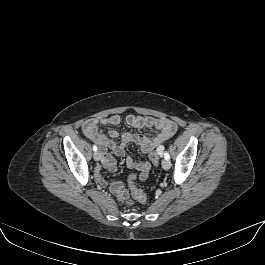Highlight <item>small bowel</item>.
<instances>
[{"label": "small bowel", "mask_w": 265, "mask_h": 265, "mask_svg": "<svg viewBox=\"0 0 265 265\" xmlns=\"http://www.w3.org/2000/svg\"><path fill=\"white\" fill-rule=\"evenodd\" d=\"M122 118L119 115H111L102 118H92L85 121L82 125V132L86 138L98 144L103 150L102 165L109 171L116 170V162L111 154L106 150H111L115 155L124 157L128 168L139 171V180L145 181L148 177L151 165L148 161H138L125 154V146L134 143L139 146L141 153L150 155L157 147L167 141L176 131L177 125L173 121L166 118H157L152 116L128 115L126 122L135 128H151L157 132L155 135L148 137L140 134L126 132L122 135L121 142L116 143L113 139L119 136V132L115 129L109 130L108 139L100 130L99 126H117L121 124ZM96 180L101 186H106V182L102 178L101 169L95 170Z\"/></svg>", "instance_id": "1"}]
</instances>
